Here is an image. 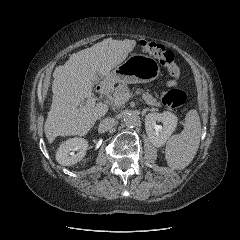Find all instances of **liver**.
I'll return each mask as SVG.
<instances>
[{
	"mask_svg": "<svg viewBox=\"0 0 240 240\" xmlns=\"http://www.w3.org/2000/svg\"><path fill=\"white\" fill-rule=\"evenodd\" d=\"M135 46V40L105 39L72 54L64 65L55 68L52 104L44 125L50 144L57 136L86 135L95 122L107 113L109 106L103 103L84 110H80V105L92 96L98 75L108 76Z\"/></svg>",
	"mask_w": 240,
	"mask_h": 240,
	"instance_id": "1",
	"label": "liver"
}]
</instances>
